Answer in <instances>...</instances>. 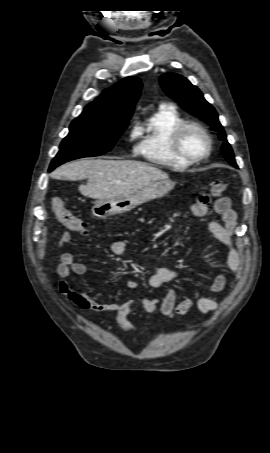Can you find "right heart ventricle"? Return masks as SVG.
Masks as SVG:
<instances>
[{"mask_svg":"<svg viewBox=\"0 0 270 453\" xmlns=\"http://www.w3.org/2000/svg\"><path fill=\"white\" fill-rule=\"evenodd\" d=\"M183 122L174 107H161L139 127L137 153L155 165L179 169L189 167L191 163L176 156L171 147V135Z\"/></svg>","mask_w":270,"mask_h":453,"instance_id":"1","label":"right heart ventricle"}]
</instances>
